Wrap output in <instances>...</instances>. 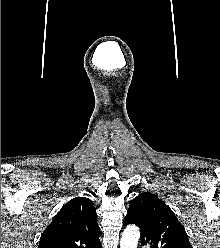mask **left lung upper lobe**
Segmentation results:
<instances>
[{"instance_id": "obj_1", "label": "left lung upper lobe", "mask_w": 220, "mask_h": 248, "mask_svg": "<svg viewBox=\"0 0 220 248\" xmlns=\"http://www.w3.org/2000/svg\"><path fill=\"white\" fill-rule=\"evenodd\" d=\"M136 224L141 246L151 248H192L184 226L173 211L152 193H141L132 200L123 225Z\"/></svg>"}]
</instances>
